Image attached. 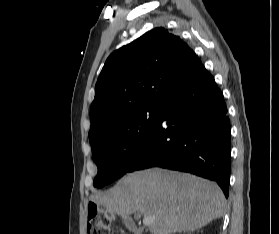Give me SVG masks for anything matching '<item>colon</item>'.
Instances as JSON below:
<instances>
[{"label": "colon", "instance_id": "colon-1", "mask_svg": "<svg viewBox=\"0 0 279 234\" xmlns=\"http://www.w3.org/2000/svg\"><path fill=\"white\" fill-rule=\"evenodd\" d=\"M113 215L108 210L96 205L89 206L87 218V234H110Z\"/></svg>", "mask_w": 279, "mask_h": 234}]
</instances>
